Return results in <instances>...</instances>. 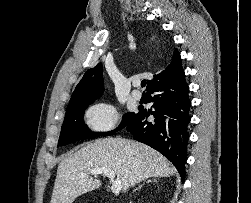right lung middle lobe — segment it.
Masks as SVG:
<instances>
[{
	"label": "right lung middle lobe",
	"instance_id": "right-lung-middle-lobe-1",
	"mask_svg": "<svg viewBox=\"0 0 251 203\" xmlns=\"http://www.w3.org/2000/svg\"><path fill=\"white\" fill-rule=\"evenodd\" d=\"M92 102L93 101H84L68 105L58 141L59 146L67 145L78 140L107 136L116 132V130H114L111 132L96 133L88 129L84 123L83 115L86 107ZM135 116L136 114L134 112L126 113L117 130L126 126Z\"/></svg>",
	"mask_w": 251,
	"mask_h": 203
}]
</instances>
